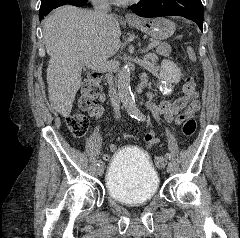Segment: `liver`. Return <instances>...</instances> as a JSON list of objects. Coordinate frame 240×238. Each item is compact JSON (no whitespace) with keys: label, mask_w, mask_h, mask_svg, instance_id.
<instances>
[{"label":"liver","mask_w":240,"mask_h":238,"mask_svg":"<svg viewBox=\"0 0 240 238\" xmlns=\"http://www.w3.org/2000/svg\"><path fill=\"white\" fill-rule=\"evenodd\" d=\"M46 51L48 94L51 107L68 117L81 86L83 64L106 61L121 46V30L112 16L101 22L91 11L71 5L59 7L43 21Z\"/></svg>","instance_id":"liver-1"}]
</instances>
